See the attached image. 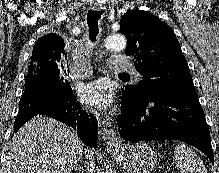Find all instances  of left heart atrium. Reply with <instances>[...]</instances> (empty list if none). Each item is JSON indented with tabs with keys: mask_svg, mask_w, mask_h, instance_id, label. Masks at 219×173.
I'll use <instances>...</instances> for the list:
<instances>
[{
	"mask_svg": "<svg viewBox=\"0 0 219 173\" xmlns=\"http://www.w3.org/2000/svg\"><path fill=\"white\" fill-rule=\"evenodd\" d=\"M78 97L82 103L102 109L110 108L114 100L110 85L103 79L80 84Z\"/></svg>",
	"mask_w": 219,
	"mask_h": 173,
	"instance_id": "obj_1",
	"label": "left heart atrium"
}]
</instances>
